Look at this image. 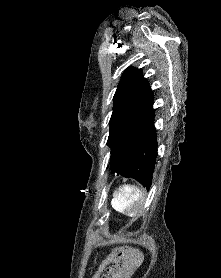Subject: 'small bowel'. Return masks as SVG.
Here are the masks:
<instances>
[{
    "label": "small bowel",
    "instance_id": "c3829d8e",
    "mask_svg": "<svg viewBox=\"0 0 221 278\" xmlns=\"http://www.w3.org/2000/svg\"><path fill=\"white\" fill-rule=\"evenodd\" d=\"M141 255L128 247L116 250L101 263L92 278H126Z\"/></svg>",
    "mask_w": 221,
    "mask_h": 278
}]
</instances>
